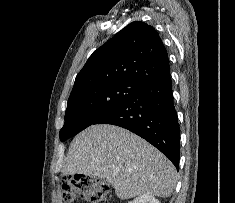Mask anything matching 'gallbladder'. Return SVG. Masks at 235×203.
<instances>
[{"label":"gallbladder","instance_id":"gallbladder-1","mask_svg":"<svg viewBox=\"0 0 235 203\" xmlns=\"http://www.w3.org/2000/svg\"><path fill=\"white\" fill-rule=\"evenodd\" d=\"M101 184L102 185H109L110 183L106 179H103V180H101Z\"/></svg>","mask_w":235,"mask_h":203}]
</instances>
